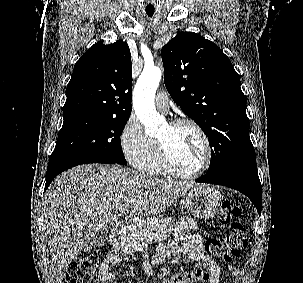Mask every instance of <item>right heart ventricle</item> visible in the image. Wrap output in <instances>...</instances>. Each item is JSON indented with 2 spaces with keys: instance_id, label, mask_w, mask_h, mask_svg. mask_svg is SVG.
I'll return each instance as SVG.
<instances>
[{
  "instance_id": "obj_1",
  "label": "right heart ventricle",
  "mask_w": 303,
  "mask_h": 283,
  "mask_svg": "<svg viewBox=\"0 0 303 283\" xmlns=\"http://www.w3.org/2000/svg\"><path fill=\"white\" fill-rule=\"evenodd\" d=\"M138 167L143 173L148 175H161L165 172L160 164L157 144L155 141L149 155Z\"/></svg>"
}]
</instances>
